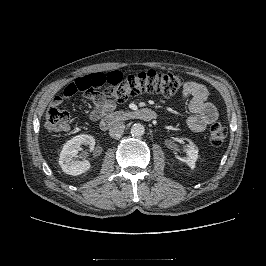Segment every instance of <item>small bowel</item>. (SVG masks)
I'll use <instances>...</instances> for the list:
<instances>
[{
	"label": "small bowel",
	"instance_id": "small-bowel-1",
	"mask_svg": "<svg viewBox=\"0 0 266 266\" xmlns=\"http://www.w3.org/2000/svg\"><path fill=\"white\" fill-rule=\"evenodd\" d=\"M181 96L183 99H189L191 115L187 119V126L191 131L202 132L208 125L218 119V110L212 103L207 101L208 91L202 84L192 81L185 82ZM85 99L94 106L91 115L94 120L112 113L116 108V104L113 101L106 99L95 91L87 93ZM63 100V97L58 96L54 101L61 104Z\"/></svg>",
	"mask_w": 266,
	"mask_h": 266
}]
</instances>
